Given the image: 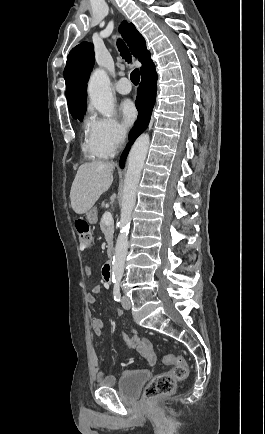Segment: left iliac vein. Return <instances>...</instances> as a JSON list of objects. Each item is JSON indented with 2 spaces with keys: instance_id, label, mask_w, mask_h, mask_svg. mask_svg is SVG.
Instances as JSON below:
<instances>
[{
  "instance_id": "4c4485c4",
  "label": "left iliac vein",
  "mask_w": 265,
  "mask_h": 434,
  "mask_svg": "<svg viewBox=\"0 0 265 434\" xmlns=\"http://www.w3.org/2000/svg\"><path fill=\"white\" fill-rule=\"evenodd\" d=\"M121 304H122L123 308L126 310H129L131 308V302L127 296L122 297Z\"/></svg>"
}]
</instances>
